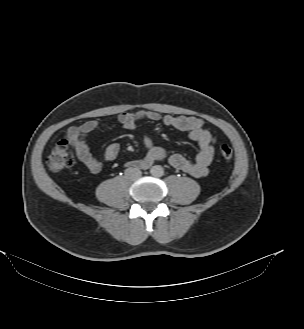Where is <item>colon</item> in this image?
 <instances>
[{"label":"colon","instance_id":"5ec220e1","mask_svg":"<svg viewBox=\"0 0 304 329\" xmlns=\"http://www.w3.org/2000/svg\"><path fill=\"white\" fill-rule=\"evenodd\" d=\"M220 155L225 160L233 156L232 148L228 144L220 146ZM74 164V152L70 141L66 138L60 140L52 149L47 159V165L53 172H59L70 168Z\"/></svg>","mask_w":304,"mask_h":329}]
</instances>
